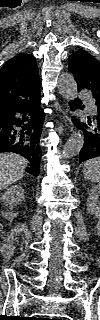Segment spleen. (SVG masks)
Listing matches in <instances>:
<instances>
[{"instance_id":"obj_1","label":"spleen","mask_w":100,"mask_h":320,"mask_svg":"<svg viewBox=\"0 0 100 320\" xmlns=\"http://www.w3.org/2000/svg\"><path fill=\"white\" fill-rule=\"evenodd\" d=\"M84 178L91 182H100V158H93L84 163Z\"/></svg>"}]
</instances>
